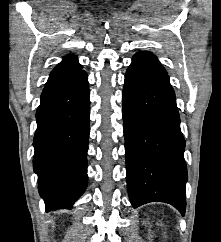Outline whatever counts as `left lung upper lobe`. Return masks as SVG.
Here are the masks:
<instances>
[{
	"label": "left lung upper lobe",
	"instance_id": "1",
	"mask_svg": "<svg viewBox=\"0 0 221 242\" xmlns=\"http://www.w3.org/2000/svg\"><path fill=\"white\" fill-rule=\"evenodd\" d=\"M131 65H134L142 70L153 74L157 78L165 79L169 81L167 72L158 61V59L151 53L146 51L137 52L133 58Z\"/></svg>",
	"mask_w": 221,
	"mask_h": 242
}]
</instances>
